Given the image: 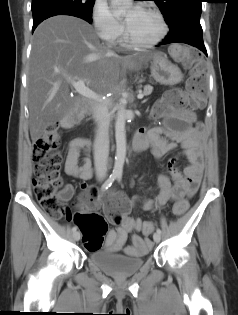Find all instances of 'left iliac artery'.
I'll use <instances>...</instances> for the list:
<instances>
[{"mask_svg": "<svg viewBox=\"0 0 238 315\" xmlns=\"http://www.w3.org/2000/svg\"><path fill=\"white\" fill-rule=\"evenodd\" d=\"M121 178H122V174L119 173V174L117 175V179H118L119 182L121 181ZM156 232L159 233V234H161V229H160V228H157Z\"/></svg>", "mask_w": 238, "mask_h": 315, "instance_id": "44dca946", "label": "left iliac artery"}]
</instances>
